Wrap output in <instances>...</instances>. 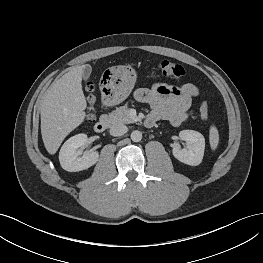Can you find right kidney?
<instances>
[{"instance_id": "1", "label": "right kidney", "mask_w": 263, "mask_h": 263, "mask_svg": "<svg viewBox=\"0 0 263 263\" xmlns=\"http://www.w3.org/2000/svg\"><path fill=\"white\" fill-rule=\"evenodd\" d=\"M88 142L86 134H77L69 138L61 147L59 153V161L61 167L68 172H77L88 169L96 164L99 159L98 152L83 154L80 157L82 150Z\"/></svg>"}]
</instances>
